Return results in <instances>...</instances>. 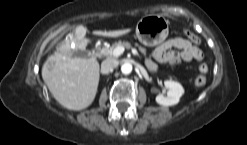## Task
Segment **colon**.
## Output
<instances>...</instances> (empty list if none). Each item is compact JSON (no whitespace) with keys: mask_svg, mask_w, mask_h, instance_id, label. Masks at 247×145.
Returning <instances> with one entry per match:
<instances>
[{"mask_svg":"<svg viewBox=\"0 0 247 145\" xmlns=\"http://www.w3.org/2000/svg\"><path fill=\"white\" fill-rule=\"evenodd\" d=\"M186 34L190 39L195 38L194 34L192 33L187 32ZM208 70H209V67L206 63L200 64L199 71L201 75L197 76L194 80V85L196 87H203L206 84L207 79L205 77V74L208 72Z\"/></svg>","mask_w":247,"mask_h":145,"instance_id":"obj_1","label":"colon"}]
</instances>
